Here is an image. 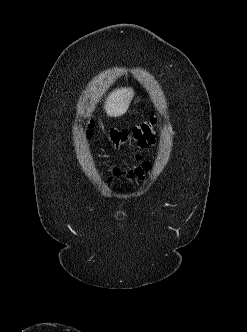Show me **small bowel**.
I'll return each instance as SVG.
<instances>
[{"label":"small bowel","instance_id":"1","mask_svg":"<svg viewBox=\"0 0 247 332\" xmlns=\"http://www.w3.org/2000/svg\"><path fill=\"white\" fill-rule=\"evenodd\" d=\"M138 160L140 161L141 158L138 157ZM149 169H150V164L147 161H142L139 166L128 171H125L124 169L121 168H116L113 170V176L109 178V182L113 181V177H121V176H126V178L128 179L144 180Z\"/></svg>","mask_w":247,"mask_h":332}]
</instances>
